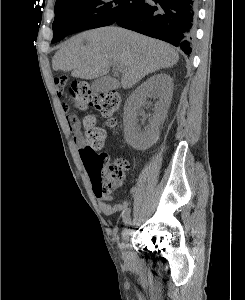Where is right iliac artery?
Segmentation results:
<instances>
[{
    "mask_svg": "<svg viewBox=\"0 0 245 300\" xmlns=\"http://www.w3.org/2000/svg\"><path fill=\"white\" fill-rule=\"evenodd\" d=\"M130 213H131V210L129 208L126 209L125 211H123L122 218H123L124 222H126V220L129 218Z\"/></svg>",
    "mask_w": 245,
    "mask_h": 300,
    "instance_id": "1",
    "label": "right iliac artery"
}]
</instances>
